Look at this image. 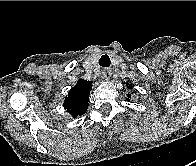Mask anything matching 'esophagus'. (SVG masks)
Instances as JSON below:
<instances>
[{"mask_svg": "<svg viewBox=\"0 0 196 166\" xmlns=\"http://www.w3.org/2000/svg\"><path fill=\"white\" fill-rule=\"evenodd\" d=\"M103 78L109 79L111 77V70L106 68L102 70Z\"/></svg>", "mask_w": 196, "mask_h": 166, "instance_id": "1", "label": "esophagus"}]
</instances>
